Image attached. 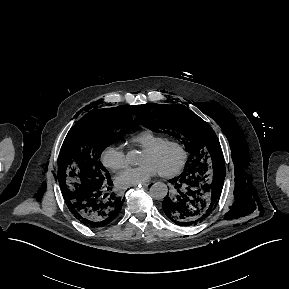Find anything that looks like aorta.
<instances>
[{
  "label": "aorta",
  "instance_id": "1",
  "mask_svg": "<svg viewBox=\"0 0 289 289\" xmlns=\"http://www.w3.org/2000/svg\"><path fill=\"white\" fill-rule=\"evenodd\" d=\"M127 160L131 165H137L140 161V151L131 150L127 154ZM150 196L155 200H162L168 193V187L163 182H156L150 187Z\"/></svg>",
  "mask_w": 289,
  "mask_h": 289
}]
</instances>
